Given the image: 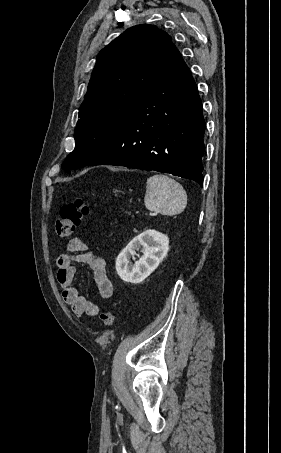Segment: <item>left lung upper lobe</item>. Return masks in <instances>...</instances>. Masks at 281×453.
Returning <instances> with one entry per match:
<instances>
[{"label":"left lung upper lobe","mask_w":281,"mask_h":453,"mask_svg":"<svg viewBox=\"0 0 281 453\" xmlns=\"http://www.w3.org/2000/svg\"><path fill=\"white\" fill-rule=\"evenodd\" d=\"M174 45L153 25H138L102 49L79 108L75 148L62 169L92 162L113 140L164 66Z\"/></svg>","instance_id":"left-lung-upper-lobe-1"}]
</instances>
